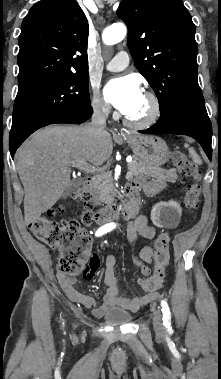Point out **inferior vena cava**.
I'll return each instance as SVG.
<instances>
[{"instance_id": "obj_1", "label": "inferior vena cava", "mask_w": 221, "mask_h": 379, "mask_svg": "<svg viewBox=\"0 0 221 379\" xmlns=\"http://www.w3.org/2000/svg\"><path fill=\"white\" fill-rule=\"evenodd\" d=\"M93 110L91 122L84 129L91 135L102 134L105 132L109 109L103 105L95 104Z\"/></svg>"}]
</instances>
